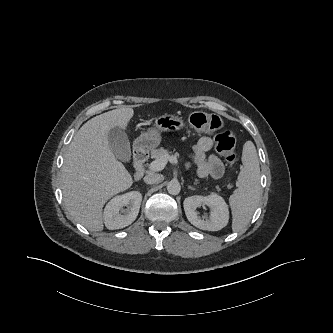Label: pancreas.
I'll return each mask as SVG.
<instances>
[{"label":"pancreas","instance_id":"1","mask_svg":"<svg viewBox=\"0 0 333 333\" xmlns=\"http://www.w3.org/2000/svg\"><path fill=\"white\" fill-rule=\"evenodd\" d=\"M178 155L179 154L176 153L175 157H177ZM151 156H152V158L159 159L164 156H169V151L161 147L159 149L152 150ZM197 183H198V180L196 179L195 184H197ZM216 189L219 190V187H216Z\"/></svg>","mask_w":333,"mask_h":333}]
</instances>
